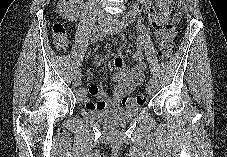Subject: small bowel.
Here are the masks:
<instances>
[{
    "instance_id": "1",
    "label": "small bowel",
    "mask_w": 227,
    "mask_h": 157,
    "mask_svg": "<svg viewBox=\"0 0 227 157\" xmlns=\"http://www.w3.org/2000/svg\"><path fill=\"white\" fill-rule=\"evenodd\" d=\"M155 1L158 11L155 9L152 0H140L139 3L144 6L146 12L150 16L151 24L156 31L157 38L164 39L169 36L171 37L172 35L168 32L171 0ZM134 8L137 10V6ZM130 14L131 12L128 17L131 18L133 15L131 16ZM133 60L135 65L132 71H128L122 54H117L114 58L116 71L111 77V80L117 83V85L114 88L112 96L108 98L101 86L89 84L86 88L82 87L76 91L81 103L84 104L88 110L117 106L127 94L134 91L143 82L146 64L143 60L142 44L133 53ZM88 93L94 95L97 98V101H90Z\"/></svg>"
}]
</instances>
